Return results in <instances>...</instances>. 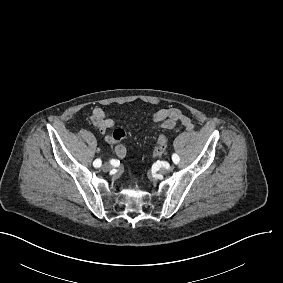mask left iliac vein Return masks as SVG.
I'll return each instance as SVG.
<instances>
[{"label":"left iliac vein","mask_w":283,"mask_h":283,"mask_svg":"<svg viewBox=\"0 0 283 283\" xmlns=\"http://www.w3.org/2000/svg\"><path fill=\"white\" fill-rule=\"evenodd\" d=\"M170 168H172V167H170ZM170 168H164V167H162V168H160V172L163 173V174H165V173H167V172L170 170Z\"/></svg>","instance_id":"1"}]
</instances>
